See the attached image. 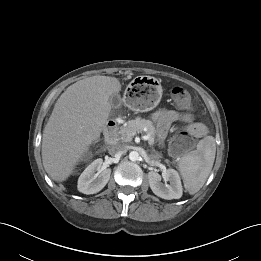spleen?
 I'll return each instance as SVG.
<instances>
[{
	"label": "spleen",
	"instance_id": "1",
	"mask_svg": "<svg viewBox=\"0 0 261 261\" xmlns=\"http://www.w3.org/2000/svg\"><path fill=\"white\" fill-rule=\"evenodd\" d=\"M216 144L212 136L200 140L197 149L183 156L178 168L185 189L190 194L197 193L206 182L215 160Z\"/></svg>",
	"mask_w": 261,
	"mask_h": 261
}]
</instances>
